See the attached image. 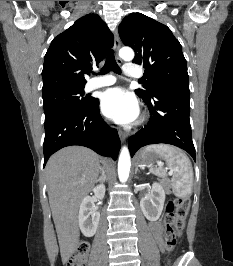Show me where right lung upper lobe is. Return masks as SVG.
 I'll list each match as a JSON object with an SVG mask.
<instances>
[{
    "label": "right lung upper lobe",
    "mask_w": 233,
    "mask_h": 266,
    "mask_svg": "<svg viewBox=\"0 0 233 266\" xmlns=\"http://www.w3.org/2000/svg\"><path fill=\"white\" fill-rule=\"evenodd\" d=\"M113 46V36L99 17L88 14L56 36L44 57L43 94L84 88V74Z\"/></svg>",
    "instance_id": "right-lung-upper-lobe-1"
}]
</instances>
